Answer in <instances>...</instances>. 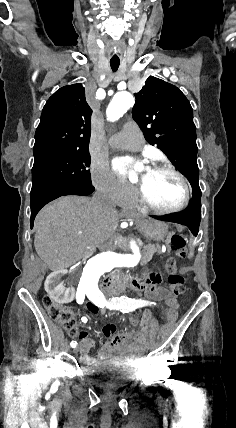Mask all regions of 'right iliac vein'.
<instances>
[{"instance_id": "63e3f726", "label": "right iliac vein", "mask_w": 236, "mask_h": 428, "mask_svg": "<svg viewBox=\"0 0 236 428\" xmlns=\"http://www.w3.org/2000/svg\"><path fill=\"white\" fill-rule=\"evenodd\" d=\"M75 351L73 352V355L74 356H77L78 355V352L81 350V347L80 346H76V349H74Z\"/></svg>"}]
</instances>
